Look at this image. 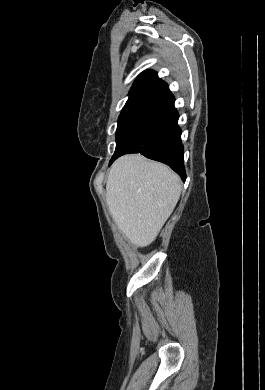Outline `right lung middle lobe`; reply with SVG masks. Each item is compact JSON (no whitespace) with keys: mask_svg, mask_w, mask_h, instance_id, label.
I'll return each instance as SVG.
<instances>
[{"mask_svg":"<svg viewBox=\"0 0 265 390\" xmlns=\"http://www.w3.org/2000/svg\"><path fill=\"white\" fill-rule=\"evenodd\" d=\"M153 102L149 99H132L126 102L118 118L116 144L133 120Z\"/></svg>","mask_w":265,"mask_h":390,"instance_id":"dd1d6c3e","label":"right lung middle lobe"}]
</instances>
